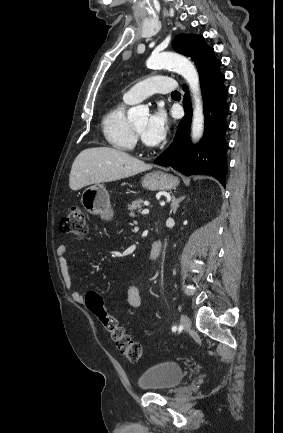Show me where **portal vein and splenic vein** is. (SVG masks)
I'll return each instance as SVG.
<instances>
[{
  "instance_id": "18ae733b",
  "label": "portal vein and splenic vein",
  "mask_w": 283,
  "mask_h": 433,
  "mask_svg": "<svg viewBox=\"0 0 283 433\" xmlns=\"http://www.w3.org/2000/svg\"><path fill=\"white\" fill-rule=\"evenodd\" d=\"M149 212V208H144V210H142V214H148Z\"/></svg>"
}]
</instances>
